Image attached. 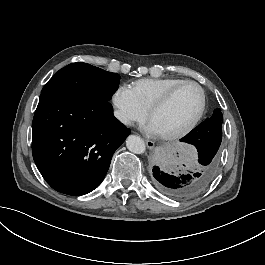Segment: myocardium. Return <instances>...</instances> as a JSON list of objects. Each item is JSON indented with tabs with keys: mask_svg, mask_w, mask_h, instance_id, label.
Here are the masks:
<instances>
[{
	"mask_svg": "<svg viewBox=\"0 0 265 265\" xmlns=\"http://www.w3.org/2000/svg\"><path fill=\"white\" fill-rule=\"evenodd\" d=\"M185 85H194L196 86L201 94V104L199 107V110L195 117L191 120V122L186 125L184 128H182L179 131L167 134V135H162L160 138L164 141H171V140H176L179 138H182L186 135H188L201 121L202 117L204 116L205 110H206V105H207V93L205 88L197 81L195 80H190V79H185L171 87L148 111V120L152 117V115L163 108L172 98L173 96Z\"/></svg>",
	"mask_w": 265,
	"mask_h": 265,
	"instance_id": "1",
	"label": "myocardium"
}]
</instances>
